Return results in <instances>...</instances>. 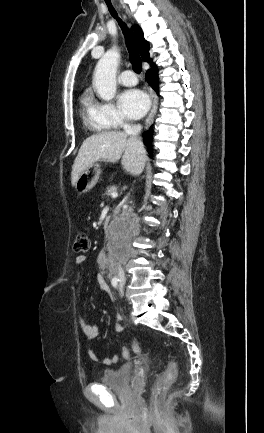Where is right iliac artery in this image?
<instances>
[{"instance_id":"82829eb1","label":"right iliac artery","mask_w":264,"mask_h":433,"mask_svg":"<svg viewBox=\"0 0 264 433\" xmlns=\"http://www.w3.org/2000/svg\"><path fill=\"white\" fill-rule=\"evenodd\" d=\"M113 287L117 288L119 285V279L118 278H113L111 281Z\"/></svg>"}]
</instances>
